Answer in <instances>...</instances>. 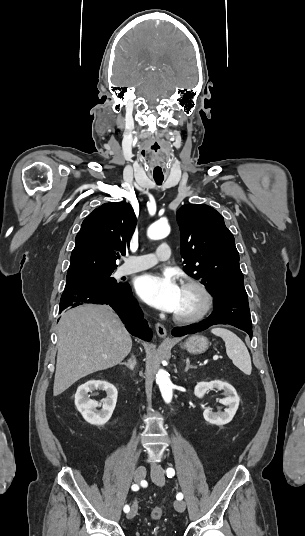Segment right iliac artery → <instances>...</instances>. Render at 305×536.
<instances>
[{"instance_id": "1", "label": "right iliac artery", "mask_w": 305, "mask_h": 536, "mask_svg": "<svg viewBox=\"0 0 305 536\" xmlns=\"http://www.w3.org/2000/svg\"><path fill=\"white\" fill-rule=\"evenodd\" d=\"M131 488L133 491H137L139 489V486L137 484H133ZM123 510L125 513H128L130 510V507L128 505H125Z\"/></svg>"}]
</instances>
